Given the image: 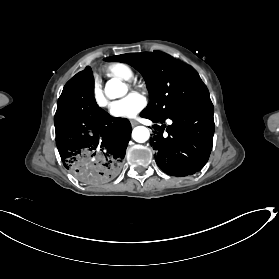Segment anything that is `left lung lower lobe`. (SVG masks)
Segmentation results:
<instances>
[{
    "instance_id": "0a47b994",
    "label": "left lung lower lobe",
    "mask_w": 279,
    "mask_h": 279,
    "mask_svg": "<svg viewBox=\"0 0 279 279\" xmlns=\"http://www.w3.org/2000/svg\"><path fill=\"white\" fill-rule=\"evenodd\" d=\"M214 108L211 100H205L188 109L171 114L164 119L141 113L154 123L167 118L173 123L154 125L155 136L150 144L155 152L157 165L168 175L187 176L201 170L211 153L214 134Z\"/></svg>"
}]
</instances>
